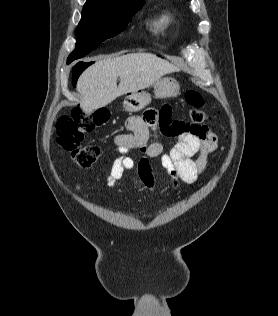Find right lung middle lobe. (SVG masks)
I'll return each mask as SVG.
<instances>
[{
	"label": "right lung middle lobe",
	"mask_w": 278,
	"mask_h": 316,
	"mask_svg": "<svg viewBox=\"0 0 278 316\" xmlns=\"http://www.w3.org/2000/svg\"><path fill=\"white\" fill-rule=\"evenodd\" d=\"M143 2L128 5H84L76 30L75 50L69 55L67 63L85 56L104 40L125 30L131 17L143 6ZM79 73L80 71L77 74Z\"/></svg>",
	"instance_id": "dd1d6c3e"
}]
</instances>
